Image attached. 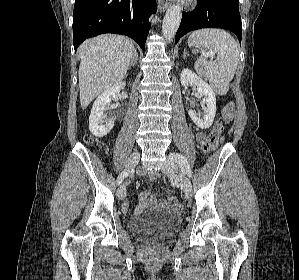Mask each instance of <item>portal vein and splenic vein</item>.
<instances>
[{
	"instance_id": "obj_1",
	"label": "portal vein and splenic vein",
	"mask_w": 299,
	"mask_h": 280,
	"mask_svg": "<svg viewBox=\"0 0 299 280\" xmlns=\"http://www.w3.org/2000/svg\"><path fill=\"white\" fill-rule=\"evenodd\" d=\"M210 55H212V54H211V53H207V54H206V56H210Z\"/></svg>"
}]
</instances>
